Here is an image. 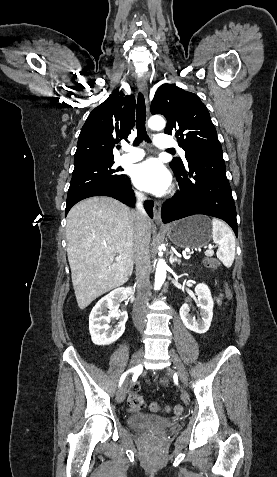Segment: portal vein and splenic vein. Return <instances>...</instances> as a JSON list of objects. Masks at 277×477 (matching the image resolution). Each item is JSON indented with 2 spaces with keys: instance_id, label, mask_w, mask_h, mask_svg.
<instances>
[{
  "instance_id": "1",
  "label": "portal vein and splenic vein",
  "mask_w": 277,
  "mask_h": 477,
  "mask_svg": "<svg viewBox=\"0 0 277 477\" xmlns=\"http://www.w3.org/2000/svg\"><path fill=\"white\" fill-rule=\"evenodd\" d=\"M213 246L208 247V249L205 251V255L207 256H212L213 255ZM184 258H189L186 254L183 255ZM120 257V256H119Z\"/></svg>"
}]
</instances>
